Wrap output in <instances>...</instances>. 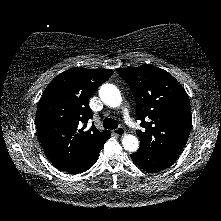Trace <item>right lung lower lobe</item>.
I'll use <instances>...</instances> for the list:
<instances>
[{"label": "right lung lower lobe", "instance_id": "1", "mask_svg": "<svg viewBox=\"0 0 221 221\" xmlns=\"http://www.w3.org/2000/svg\"><path fill=\"white\" fill-rule=\"evenodd\" d=\"M109 137L110 133L84 159L79 161L76 165H74L72 168H70L67 171L70 174H79L91 168L97 161L99 153L102 150L104 143L109 139Z\"/></svg>", "mask_w": 221, "mask_h": 221}]
</instances>
